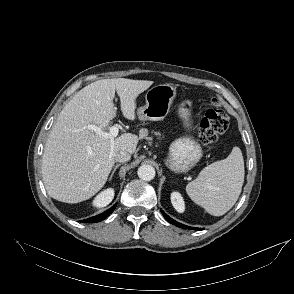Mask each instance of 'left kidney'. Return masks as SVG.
Masks as SVG:
<instances>
[{"instance_id":"1","label":"left kidney","mask_w":294,"mask_h":294,"mask_svg":"<svg viewBox=\"0 0 294 294\" xmlns=\"http://www.w3.org/2000/svg\"><path fill=\"white\" fill-rule=\"evenodd\" d=\"M171 202L173 207L179 212L182 213L185 210V204L183 197L179 192L171 193Z\"/></svg>"}]
</instances>
